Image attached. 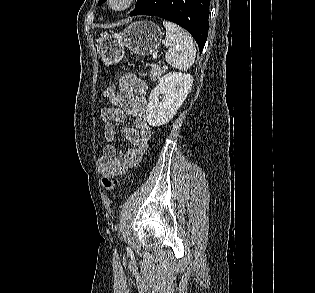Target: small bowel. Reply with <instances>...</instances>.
Returning <instances> with one entry per match:
<instances>
[{"mask_svg": "<svg viewBox=\"0 0 315 293\" xmlns=\"http://www.w3.org/2000/svg\"><path fill=\"white\" fill-rule=\"evenodd\" d=\"M118 88L108 97L112 106L104 107L101 111L105 123L104 136L108 143L103 147L98 167L105 177L122 175L137 164L152 135V128L146 119L147 84L134 74L125 73L119 79ZM127 116L134 117L135 126L121 127V134L131 143V147L122 152L113 144L116 137L114 124L124 122Z\"/></svg>", "mask_w": 315, "mask_h": 293, "instance_id": "1", "label": "small bowel"}]
</instances>
